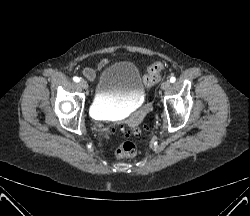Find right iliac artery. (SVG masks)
<instances>
[{"label": "right iliac artery", "mask_w": 250, "mask_h": 216, "mask_svg": "<svg viewBox=\"0 0 250 216\" xmlns=\"http://www.w3.org/2000/svg\"><path fill=\"white\" fill-rule=\"evenodd\" d=\"M73 80L75 81V82H79L80 81V79L78 78V77H73Z\"/></svg>", "instance_id": "obj_1"}]
</instances>
